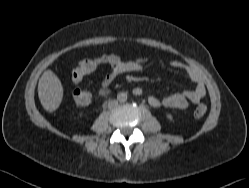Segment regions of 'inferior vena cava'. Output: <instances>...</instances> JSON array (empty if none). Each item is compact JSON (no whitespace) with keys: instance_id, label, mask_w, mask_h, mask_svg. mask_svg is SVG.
Returning a JSON list of instances; mask_svg holds the SVG:
<instances>
[{"instance_id":"1","label":"inferior vena cava","mask_w":249,"mask_h":188,"mask_svg":"<svg viewBox=\"0 0 249 188\" xmlns=\"http://www.w3.org/2000/svg\"><path fill=\"white\" fill-rule=\"evenodd\" d=\"M117 104H118V102H117L116 100H111V101H109V103H108V108H109V109H112V108H114L115 106H117Z\"/></svg>"}]
</instances>
